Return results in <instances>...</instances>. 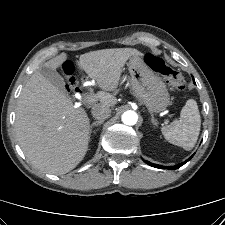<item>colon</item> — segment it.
Wrapping results in <instances>:
<instances>
[{
	"instance_id": "obj_1",
	"label": "colon",
	"mask_w": 225,
	"mask_h": 225,
	"mask_svg": "<svg viewBox=\"0 0 225 225\" xmlns=\"http://www.w3.org/2000/svg\"><path fill=\"white\" fill-rule=\"evenodd\" d=\"M145 61L148 67L154 72L162 75L166 83L174 90L181 91L185 88V79L183 75L173 67L169 66L162 58L148 53L145 56ZM66 68H69L68 66ZM68 89L71 93L79 90L77 81L70 77L67 81Z\"/></svg>"
}]
</instances>
